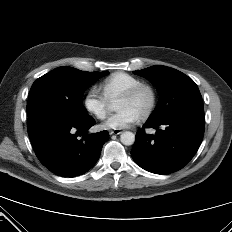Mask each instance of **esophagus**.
<instances>
[{"instance_id": "obj_1", "label": "esophagus", "mask_w": 232, "mask_h": 232, "mask_svg": "<svg viewBox=\"0 0 232 232\" xmlns=\"http://www.w3.org/2000/svg\"><path fill=\"white\" fill-rule=\"evenodd\" d=\"M121 133H122V131L119 130V129L110 130V131H109V134H110V135H119V134H121Z\"/></svg>"}]
</instances>
